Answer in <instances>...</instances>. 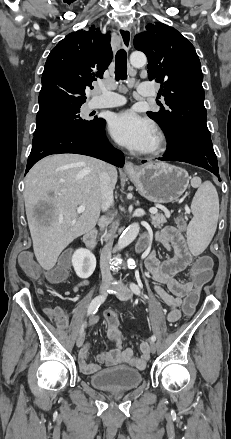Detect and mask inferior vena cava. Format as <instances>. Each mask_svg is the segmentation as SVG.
Segmentation results:
<instances>
[{
    "label": "inferior vena cava",
    "mask_w": 231,
    "mask_h": 439,
    "mask_svg": "<svg viewBox=\"0 0 231 439\" xmlns=\"http://www.w3.org/2000/svg\"><path fill=\"white\" fill-rule=\"evenodd\" d=\"M110 169H111L110 165L101 163L99 179H100V187H101V194L103 201L102 203L103 211H107L114 203L113 185L111 182ZM116 227H117V223H113L110 230V234L108 236V241L106 242L105 246L101 250L100 269H101L102 279L104 281L112 280V275L110 272V260H111L113 237L115 234Z\"/></svg>",
    "instance_id": "1"
}]
</instances>
